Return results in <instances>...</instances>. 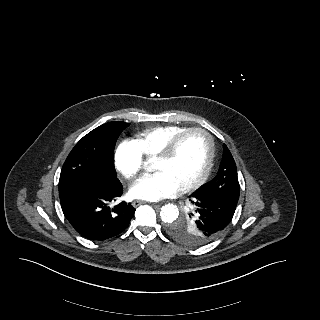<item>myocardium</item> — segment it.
<instances>
[{"instance_id": "myocardium-1", "label": "myocardium", "mask_w": 320, "mask_h": 320, "mask_svg": "<svg viewBox=\"0 0 320 320\" xmlns=\"http://www.w3.org/2000/svg\"><path fill=\"white\" fill-rule=\"evenodd\" d=\"M193 133H200L204 135L208 141V158L206 165L202 171V173L193 181L189 182L188 184L183 185L180 188V192H188L191 190H194L201 186L209 177L211 170L213 168L214 160H215V154H216V149H215V142L212 137V135L205 129L201 127H190L187 128L186 130L182 131L181 133L177 134L163 149V151L154 159L155 161H168L170 160L179 144L181 141L188 135L193 134Z\"/></svg>"}]
</instances>
